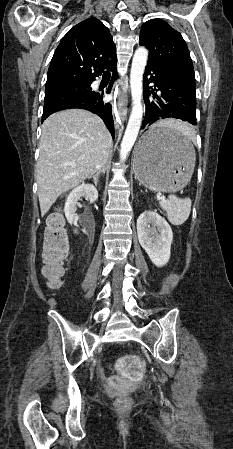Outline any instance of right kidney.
I'll return each mask as SVG.
<instances>
[{
    "label": "right kidney",
    "mask_w": 233,
    "mask_h": 449,
    "mask_svg": "<svg viewBox=\"0 0 233 449\" xmlns=\"http://www.w3.org/2000/svg\"><path fill=\"white\" fill-rule=\"evenodd\" d=\"M81 197H85L91 202H95L98 199V191L93 185L82 183L70 192L64 207L66 219L70 224H72L75 219V212L77 210L76 204ZM74 233H77V230H74Z\"/></svg>",
    "instance_id": "obj_1"
}]
</instances>
